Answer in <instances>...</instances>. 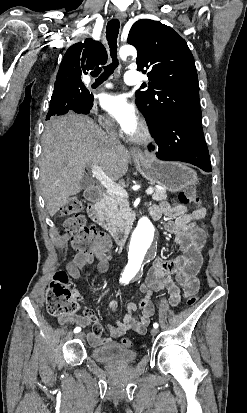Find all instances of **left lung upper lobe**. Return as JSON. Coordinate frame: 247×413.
Returning <instances> with one entry per match:
<instances>
[{
	"label": "left lung upper lobe",
	"instance_id": "5c2ea615",
	"mask_svg": "<svg viewBox=\"0 0 247 413\" xmlns=\"http://www.w3.org/2000/svg\"><path fill=\"white\" fill-rule=\"evenodd\" d=\"M128 43L138 51V70L151 80L147 91L136 92V105L150 129L171 117L201 121L198 77L186 41L169 26L141 19L131 27Z\"/></svg>",
	"mask_w": 247,
	"mask_h": 413
}]
</instances>
